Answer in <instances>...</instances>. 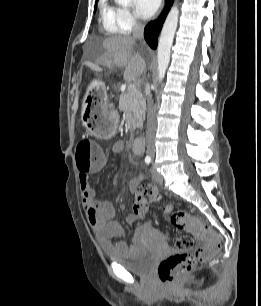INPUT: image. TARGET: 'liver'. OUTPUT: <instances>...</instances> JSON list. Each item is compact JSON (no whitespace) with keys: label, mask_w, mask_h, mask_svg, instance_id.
<instances>
[{"label":"liver","mask_w":261,"mask_h":306,"mask_svg":"<svg viewBox=\"0 0 261 306\" xmlns=\"http://www.w3.org/2000/svg\"><path fill=\"white\" fill-rule=\"evenodd\" d=\"M135 39L130 36H112L101 41V47L105 50L98 63L107 67H125L124 80L131 82L138 79L146 68L143 57L133 53Z\"/></svg>","instance_id":"1"}]
</instances>
